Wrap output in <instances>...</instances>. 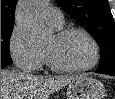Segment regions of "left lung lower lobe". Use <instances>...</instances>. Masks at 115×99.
Masks as SVG:
<instances>
[{"label":"left lung lower lobe","instance_id":"obj_1","mask_svg":"<svg viewBox=\"0 0 115 99\" xmlns=\"http://www.w3.org/2000/svg\"><path fill=\"white\" fill-rule=\"evenodd\" d=\"M96 72H97V71H96ZM97 73H99V72H97ZM101 74H107V75H113V76H115V71L103 72V73H101Z\"/></svg>","mask_w":115,"mask_h":99}]
</instances>
